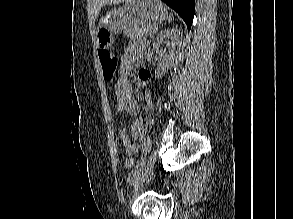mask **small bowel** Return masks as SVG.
I'll return each mask as SVG.
<instances>
[{
  "label": "small bowel",
  "instance_id": "small-bowel-1",
  "mask_svg": "<svg viewBox=\"0 0 293 219\" xmlns=\"http://www.w3.org/2000/svg\"><path fill=\"white\" fill-rule=\"evenodd\" d=\"M144 44L141 41L132 42L126 49L122 56L119 68L120 78L118 79L115 87L118 113L126 112L131 116H136L139 113V107L132 95V90L129 82V75L134 63L139 59ZM150 78L148 70L142 69L138 73V85L144 86ZM143 128V120L136 119L130 128V133L125 129L120 130L119 136L123 142L125 151L129 155H133L139 148V137Z\"/></svg>",
  "mask_w": 293,
  "mask_h": 219
}]
</instances>
